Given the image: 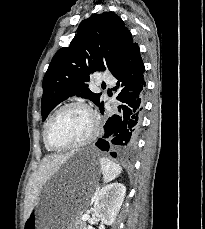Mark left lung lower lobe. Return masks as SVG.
<instances>
[{"label":"left lung lower lobe","mask_w":205,"mask_h":229,"mask_svg":"<svg viewBox=\"0 0 205 229\" xmlns=\"http://www.w3.org/2000/svg\"><path fill=\"white\" fill-rule=\"evenodd\" d=\"M145 67L140 55L137 43H133L123 55L113 76L118 80L117 86L121 92L117 99L123 102L119 106V114L109 118L104 126L105 134L96 145L108 151L109 142L104 138L111 137L110 154L113 157L130 156L137 146V140L141 129V121L144 107V94L146 82L144 79ZM103 114L104 109L102 108Z\"/></svg>","instance_id":"obj_1"}]
</instances>
